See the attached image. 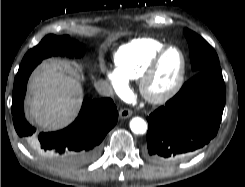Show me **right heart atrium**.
Segmentation results:
<instances>
[{"instance_id":"right-heart-atrium-1","label":"right heart atrium","mask_w":245,"mask_h":187,"mask_svg":"<svg viewBox=\"0 0 245 187\" xmlns=\"http://www.w3.org/2000/svg\"><path fill=\"white\" fill-rule=\"evenodd\" d=\"M104 72L111 84L112 89L120 96H125L128 92L126 83L120 78L116 69L104 68Z\"/></svg>"}]
</instances>
